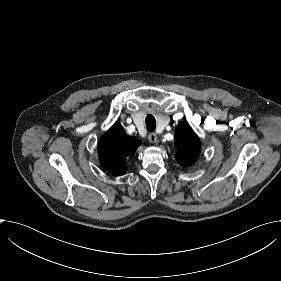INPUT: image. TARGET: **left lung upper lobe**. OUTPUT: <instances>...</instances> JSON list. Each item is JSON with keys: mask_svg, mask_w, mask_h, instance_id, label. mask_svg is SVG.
<instances>
[{"mask_svg": "<svg viewBox=\"0 0 281 281\" xmlns=\"http://www.w3.org/2000/svg\"><path fill=\"white\" fill-rule=\"evenodd\" d=\"M176 160L182 166L192 165L201 152V142L192 128L185 123H179L175 129Z\"/></svg>", "mask_w": 281, "mask_h": 281, "instance_id": "obj_1", "label": "left lung upper lobe"}]
</instances>
